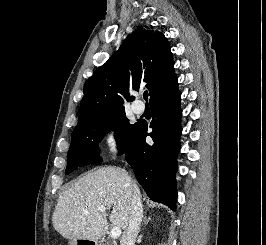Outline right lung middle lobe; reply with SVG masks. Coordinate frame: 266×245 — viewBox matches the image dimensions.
<instances>
[{"label":"right lung middle lobe","instance_id":"1","mask_svg":"<svg viewBox=\"0 0 266 245\" xmlns=\"http://www.w3.org/2000/svg\"><path fill=\"white\" fill-rule=\"evenodd\" d=\"M135 127L136 123L130 124L128 119L125 118V110L78 121L72 133L66 174L80 166L101 162L98 154V144L110 131L115 130V138L120 146V154H123L131 143Z\"/></svg>","mask_w":266,"mask_h":245}]
</instances>
